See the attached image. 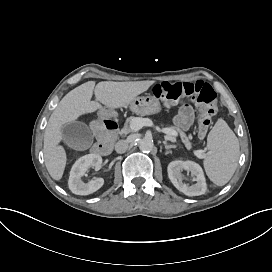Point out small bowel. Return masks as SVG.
Returning <instances> with one entry per match:
<instances>
[{
	"mask_svg": "<svg viewBox=\"0 0 272 272\" xmlns=\"http://www.w3.org/2000/svg\"><path fill=\"white\" fill-rule=\"evenodd\" d=\"M193 117V108L189 104H184L181 106L174 122L181 130L187 131L192 124Z\"/></svg>",
	"mask_w": 272,
	"mask_h": 272,
	"instance_id": "c3829d8e",
	"label": "small bowel"
}]
</instances>
